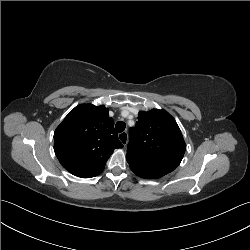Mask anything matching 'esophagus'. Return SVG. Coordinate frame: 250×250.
Returning a JSON list of instances; mask_svg holds the SVG:
<instances>
[{
    "mask_svg": "<svg viewBox=\"0 0 250 250\" xmlns=\"http://www.w3.org/2000/svg\"><path fill=\"white\" fill-rule=\"evenodd\" d=\"M118 138H119V140H120V142L124 145V146H126V144H127V141H128V134H127V132H121L119 135H118Z\"/></svg>",
    "mask_w": 250,
    "mask_h": 250,
    "instance_id": "obj_1",
    "label": "esophagus"
}]
</instances>
